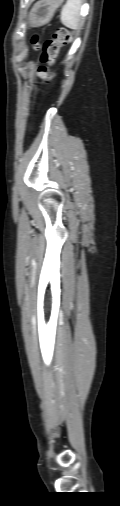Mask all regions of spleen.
Returning <instances> with one entry per match:
<instances>
[{
    "label": "spleen",
    "mask_w": 120,
    "mask_h": 506,
    "mask_svg": "<svg viewBox=\"0 0 120 506\" xmlns=\"http://www.w3.org/2000/svg\"><path fill=\"white\" fill-rule=\"evenodd\" d=\"M81 0H67L61 11V22L64 26L71 29H78L79 27V11L81 7Z\"/></svg>",
    "instance_id": "1"
}]
</instances>
